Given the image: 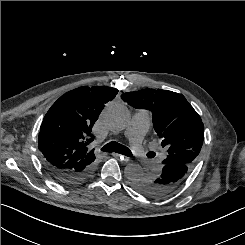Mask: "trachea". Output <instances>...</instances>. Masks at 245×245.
Segmentation results:
<instances>
[{
    "instance_id": "trachea-1",
    "label": "trachea",
    "mask_w": 245,
    "mask_h": 245,
    "mask_svg": "<svg viewBox=\"0 0 245 245\" xmlns=\"http://www.w3.org/2000/svg\"><path fill=\"white\" fill-rule=\"evenodd\" d=\"M101 150L104 152L120 153V154H123V155L128 156V157L132 156L131 151L126 146L121 145L115 141H111V142L107 143L106 145L103 146V148Z\"/></svg>"
}]
</instances>
